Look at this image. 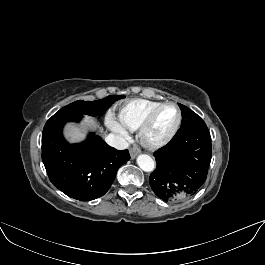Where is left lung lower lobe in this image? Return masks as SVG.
Returning a JSON list of instances; mask_svg holds the SVG:
<instances>
[{"mask_svg": "<svg viewBox=\"0 0 265 265\" xmlns=\"http://www.w3.org/2000/svg\"><path fill=\"white\" fill-rule=\"evenodd\" d=\"M211 152V137L205 123L177 132L153 154L157 167L149 183L154 193L169 202L194 195L206 181Z\"/></svg>", "mask_w": 265, "mask_h": 265, "instance_id": "0a47b994", "label": "left lung lower lobe"}]
</instances>
